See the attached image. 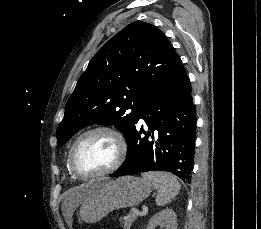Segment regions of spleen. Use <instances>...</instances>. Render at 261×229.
<instances>
[{"mask_svg": "<svg viewBox=\"0 0 261 229\" xmlns=\"http://www.w3.org/2000/svg\"><path fill=\"white\" fill-rule=\"evenodd\" d=\"M143 179L154 185L158 195L156 197V205L164 207L175 199L180 191V183L172 173H164V171H149L142 173Z\"/></svg>", "mask_w": 261, "mask_h": 229, "instance_id": "obj_1", "label": "spleen"}]
</instances>
